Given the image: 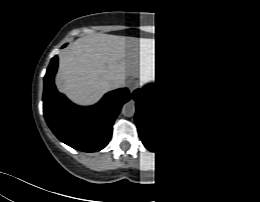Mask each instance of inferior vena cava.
<instances>
[{"label": "inferior vena cava", "mask_w": 260, "mask_h": 202, "mask_svg": "<svg viewBox=\"0 0 260 202\" xmlns=\"http://www.w3.org/2000/svg\"><path fill=\"white\" fill-rule=\"evenodd\" d=\"M120 86H121V84H120L119 81L114 80V81H111V82H110V87H111V89L118 88V87H120Z\"/></svg>", "instance_id": "602c4592"}]
</instances>
